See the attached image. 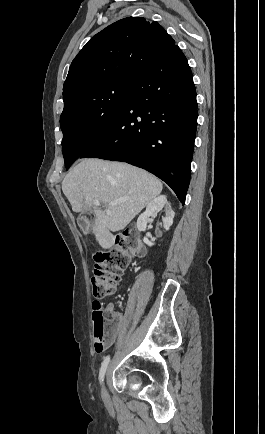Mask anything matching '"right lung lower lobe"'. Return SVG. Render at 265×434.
<instances>
[{"label": "right lung lower lobe", "instance_id": "98d812e1", "mask_svg": "<svg viewBox=\"0 0 265 434\" xmlns=\"http://www.w3.org/2000/svg\"><path fill=\"white\" fill-rule=\"evenodd\" d=\"M197 117L193 75L175 44L133 79L119 117L79 158L141 167L166 182L184 204Z\"/></svg>", "mask_w": 265, "mask_h": 434}]
</instances>
